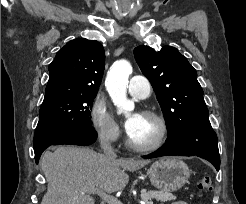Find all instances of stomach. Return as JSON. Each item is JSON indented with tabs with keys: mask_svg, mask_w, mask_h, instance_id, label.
I'll list each match as a JSON object with an SVG mask.
<instances>
[{
	"mask_svg": "<svg viewBox=\"0 0 246 204\" xmlns=\"http://www.w3.org/2000/svg\"><path fill=\"white\" fill-rule=\"evenodd\" d=\"M151 184L161 191L174 192L188 181L189 167L180 159L166 157L155 161L147 171Z\"/></svg>",
	"mask_w": 246,
	"mask_h": 204,
	"instance_id": "0dacf381",
	"label": "stomach"
}]
</instances>
